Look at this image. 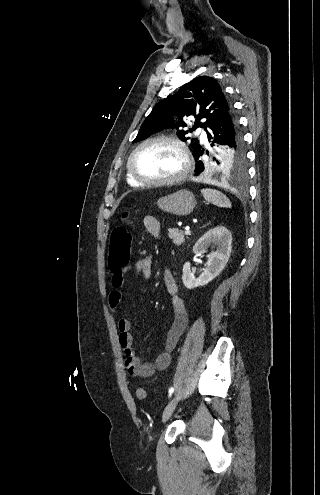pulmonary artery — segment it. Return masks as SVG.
<instances>
[{"label": "pulmonary artery", "instance_id": "e3ab8cb5", "mask_svg": "<svg viewBox=\"0 0 320 495\" xmlns=\"http://www.w3.org/2000/svg\"><path fill=\"white\" fill-rule=\"evenodd\" d=\"M201 140H202L204 143H206V142H207V137H206V135H205V134H202V135H201Z\"/></svg>", "mask_w": 320, "mask_h": 495}]
</instances>
